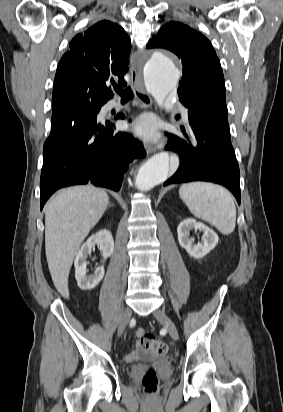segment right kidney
Segmentation results:
<instances>
[{
    "mask_svg": "<svg viewBox=\"0 0 283 412\" xmlns=\"http://www.w3.org/2000/svg\"><path fill=\"white\" fill-rule=\"evenodd\" d=\"M97 244L102 252L103 261L110 257L114 249V240L108 230H101L90 236L81 246L75 258V278L78 286L83 290H90L96 287L104 277V266L95 269L94 274L87 276V256L91 253V248Z\"/></svg>",
    "mask_w": 283,
    "mask_h": 412,
    "instance_id": "right-kidney-1",
    "label": "right kidney"
}]
</instances>
